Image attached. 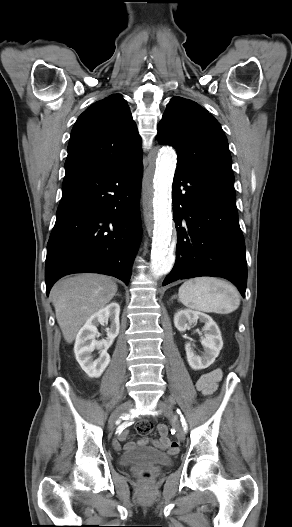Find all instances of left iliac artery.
I'll return each mask as SVG.
<instances>
[{
    "instance_id": "44dca946",
    "label": "left iliac artery",
    "mask_w": 292,
    "mask_h": 527,
    "mask_svg": "<svg viewBox=\"0 0 292 527\" xmlns=\"http://www.w3.org/2000/svg\"><path fill=\"white\" fill-rule=\"evenodd\" d=\"M177 413L180 415V420H181V424H182V427L184 429V431L186 432L187 431V422H186V419L185 417L181 414V412L179 410H177Z\"/></svg>"
}]
</instances>
